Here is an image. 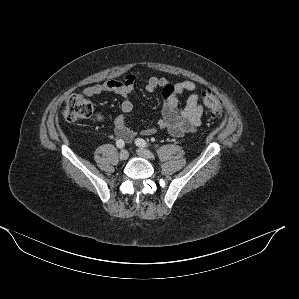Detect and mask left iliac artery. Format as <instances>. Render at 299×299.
<instances>
[{
    "label": "left iliac artery",
    "mask_w": 299,
    "mask_h": 299,
    "mask_svg": "<svg viewBox=\"0 0 299 299\" xmlns=\"http://www.w3.org/2000/svg\"><path fill=\"white\" fill-rule=\"evenodd\" d=\"M135 143L139 147H147L148 146V143L142 138L136 139Z\"/></svg>",
    "instance_id": "left-iliac-artery-1"
}]
</instances>
